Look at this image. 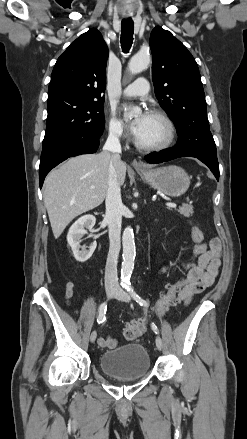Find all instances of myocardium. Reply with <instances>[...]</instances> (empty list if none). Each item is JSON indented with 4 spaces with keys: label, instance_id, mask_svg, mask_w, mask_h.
<instances>
[{
    "label": "myocardium",
    "instance_id": "obj_1",
    "mask_svg": "<svg viewBox=\"0 0 247 439\" xmlns=\"http://www.w3.org/2000/svg\"><path fill=\"white\" fill-rule=\"evenodd\" d=\"M148 115L157 117L165 123L166 129H167V137L163 142L156 144V145L142 144L136 138L135 139L136 147L140 150L148 151V152H157V151H162V150L168 149L169 147L172 146V144L174 143V141L176 139V127H175L173 120L164 111L157 110V109L149 111Z\"/></svg>",
    "mask_w": 247,
    "mask_h": 439
}]
</instances>
